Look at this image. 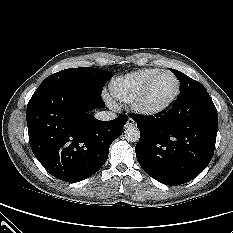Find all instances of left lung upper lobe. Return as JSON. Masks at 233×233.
I'll return each instance as SVG.
<instances>
[{
    "label": "left lung upper lobe",
    "instance_id": "5c2ea615",
    "mask_svg": "<svg viewBox=\"0 0 233 233\" xmlns=\"http://www.w3.org/2000/svg\"><path fill=\"white\" fill-rule=\"evenodd\" d=\"M179 79L180 81V96L179 98H183L189 94H191L194 91L197 90H205L206 88L199 82L191 79L187 75L183 74L182 72L175 70V69H170Z\"/></svg>",
    "mask_w": 233,
    "mask_h": 233
}]
</instances>
